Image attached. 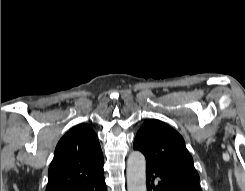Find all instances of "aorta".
<instances>
[{
	"label": "aorta",
	"mask_w": 245,
	"mask_h": 191,
	"mask_svg": "<svg viewBox=\"0 0 245 191\" xmlns=\"http://www.w3.org/2000/svg\"><path fill=\"white\" fill-rule=\"evenodd\" d=\"M128 191H146V161L139 151H133L127 159Z\"/></svg>",
	"instance_id": "762f6f07"
}]
</instances>
